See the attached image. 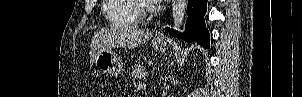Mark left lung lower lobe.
I'll return each instance as SVG.
<instances>
[{"mask_svg": "<svg viewBox=\"0 0 302 97\" xmlns=\"http://www.w3.org/2000/svg\"><path fill=\"white\" fill-rule=\"evenodd\" d=\"M207 0H189L188 2V19L186 31L182 34L171 29H166L175 37L182 38L185 41H196L205 48L210 47L209 32L206 29L204 15L206 13Z\"/></svg>", "mask_w": 302, "mask_h": 97, "instance_id": "1", "label": "left lung lower lobe"}]
</instances>
